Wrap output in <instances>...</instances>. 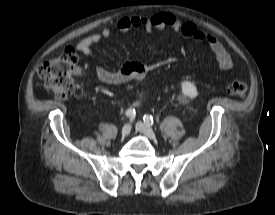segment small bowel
Masks as SVG:
<instances>
[{
	"label": "small bowel",
	"mask_w": 275,
	"mask_h": 215,
	"mask_svg": "<svg viewBox=\"0 0 275 215\" xmlns=\"http://www.w3.org/2000/svg\"><path fill=\"white\" fill-rule=\"evenodd\" d=\"M144 28L148 32L153 30L163 31L171 29L179 32L183 37L206 45L214 55L217 65L222 70H229L232 67V59L225 47L211 33L200 30L192 22H182L170 13H158L155 15H135L122 17L117 22V29L120 32H128L131 29ZM112 31L105 27L99 33L91 34L81 40L76 49L84 54L90 55L94 45L103 39L110 38ZM152 67L139 60L125 63L119 70L110 71L101 66H96L94 75L99 81L107 85H118L128 81H141L151 71ZM140 102L135 101L132 106H139Z\"/></svg>",
	"instance_id": "small-bowel-1"
}]
</instances>
